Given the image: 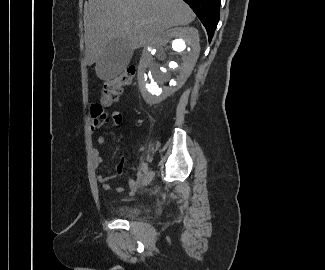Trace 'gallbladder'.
<instances>
[{"instance_id":"bac80fb5","label":"gallbladder","mask_w":325,"mask_h":270,"mask_svg":"<svg viewBox=\"0 0 325 270\" xmlns=\"http://www.w3.org/2000/svg\"><path fill=\"white\" fill-rule=\"evenodd\" d=\"M133 54L129 42L118 38L112 40L104 50L97 65L98 73L104 78H114L128 65Z\"/></svg>"}]
</instances>
